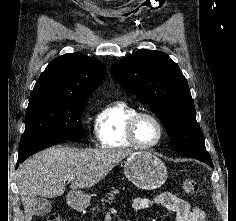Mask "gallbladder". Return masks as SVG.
<instances>
[{"label":"gallbladder","mask_w":236,"mask_h":221,"mask_svg":"<svg viewBox=\"0 0 236 221\" xmlns=\"http://www.w3.org/2000/svg\"><path fill=\"white\" fill-rule=\"evenodd\" d=\"M51 210V202L44 197H36L34 202V214L36 216H45Z\"/></svg>","instance_id":"1"}]
</instances>
